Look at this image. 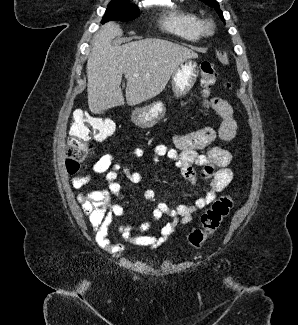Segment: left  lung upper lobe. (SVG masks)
<instances>
[{
  "mask_svg": "<svg viewBox=\"0 0 298 325\" xmlns=\"http://www.w3.org/2000/svg\"><path fill=\"white\" fill-rule=\"evenodd\" d=\"M201 1H204L210 7L215 8V10L218 12L220 18L222 19V21H224L222 11L220 10L219 4L216 0H201Z\"/></svg>",
  "mask_w": 298,
  "mask_h": 325,
  "instance_id": "left-lung-upper-lobe-1",
  "label": "left lung upper lobe"
}]
</instances>
